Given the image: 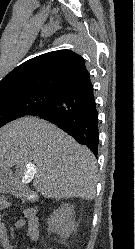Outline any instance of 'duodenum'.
<instances>
[{"label":"duodenum","mask_w":135,"mask_h":249,"mask_svg":"<svg viewBox=\"0 0 135 249\" xmlns=\"http://www.w3.org/2000/svg\"><path fill=\"white\" fill-rule=\"evenodd\" d=\"M21 197L30 201H36V195L34 192L28 189H21Z\"/></svg>","instance_id":"obj_1"}]
</instances>
